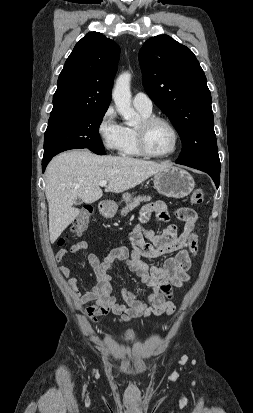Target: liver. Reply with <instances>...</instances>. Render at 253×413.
I'll list each match as a JSON object with an SVG mask.
<instances>
[{"label":"liver","mask_w":253,"mask_h":413,"mask_svg":"<svg viewBox=\"0 0 253 413\" xmlns=\"http://www.w3.org/2000/svg\"><path fill=\"white\" fill-rule=\"evenodd\" d=\"M171 166L126 156H97L88 150L58 154L45 171L50 242L54 243L79 215V209L73 207L76 199L93 203L102 197L100 181L108 183L105 192L121 193Z\"/></svg>","instance_id":"6515ba94"}]
</instances>
